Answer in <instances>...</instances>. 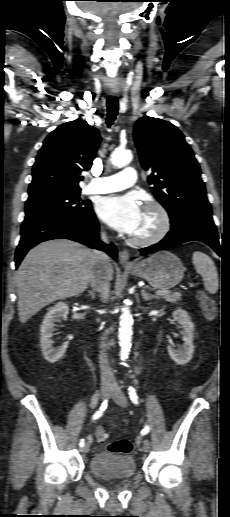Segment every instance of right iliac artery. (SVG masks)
Segmentation results:
<instances>
[{
    "label": "right iliac artery",
    "mask_w": 230,
    "mask_h": 517,
    "mask_svg": "<svg viewBox=\"0 0 230 517\" xmlns=\"http://www.w3.org/2000/svg\"><path fill=\"white\" fill-rule=\"evenodd\" d=\"M107 403H108V400H105L102 405L100 406V408L95 412V414L93 415L92 419L93 420H96L98 418H100L103 413L105 412L106 408H107ZM79 446L80 447H83L84 446V440L81 439L80 442H79Z\"/></svg>",
    "instance_id": "right-iliac-artery-1"
}]
</instances>
